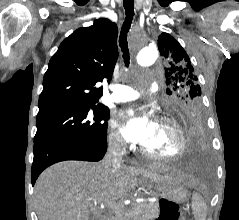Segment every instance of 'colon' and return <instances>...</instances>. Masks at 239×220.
<instances>
[{"instance_id":"obj_1","label":"colon","mask_w":239,"mask_h":220,"mask_svg":"<svg viewBox=\"0 0 239 220\" xmlns=\"http://www.w3.org/2000/svg\"><path fill=\"white\" fill-rule=\"evenodd\" d=\"M193 89H189L188 93L191 95ZM160 218L159 220H178V205L172 201L162 199L159 203Z\"/></svg>"}]
</instances>
